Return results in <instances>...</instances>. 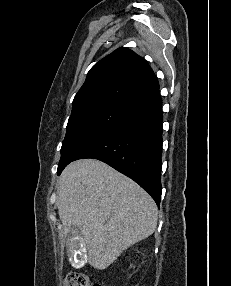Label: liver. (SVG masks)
I'll return each mask as SVG.
<instances>
[{
  "label": "liver",
  "mask_w": 231,
  "mask_h": 286,
  "mask_svg": "<svg viewBox=\"0 0 231 286\" xmlns=\"http://www.w3.org/2000/svg\"><path fill=\"white\" fill-rule=\"evenodd\" d=\"M57 194L64 233L79 229L77 238L86 245L88 262L96 269H106L157 227L158 209L152 197L99 160L70 163L60 176Z\"/></svg>",
  "instance_id": "liver-1"
}]
</instances>
